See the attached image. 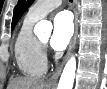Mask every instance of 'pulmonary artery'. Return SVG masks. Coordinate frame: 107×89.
I'll return each mask as SVG.
<instances>
[{"label": "pulmonary artery", "mask_w": 107, "mask_h": 89, "mask_svg": "<svg viewBox=\"0 0 107 89\" xmlns=\"http://www.w3.org/2000/svg\"><path fill=\"white\" fill-rule=\"evenodd\" d=\"M61 0H39L32 5L28 14L34 18H42L61 5Z\"/></svg>", "instance_id": "obj_1"}]
</instances>
